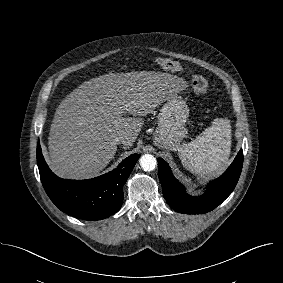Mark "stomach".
<instances>
[{
  "label": "stomach",
  "mask_w": 283,
  "mask_h": 283,
  "mask_svg": "<svg viewBox=\"0 0 283 283\" xmlns=\"http://www.w3.org/2000/svg\"><path fill=\"white\" fill-rule=\"evenodd\" d=\"M188 117L189 109L182 97H170L158 114V127L153 143L158 147L176 151L188 133L185 127Z\"/></svg>",
  "instance_id": "obj_1"
}]
</instances>
